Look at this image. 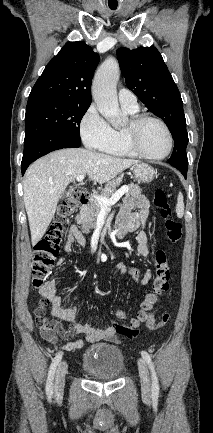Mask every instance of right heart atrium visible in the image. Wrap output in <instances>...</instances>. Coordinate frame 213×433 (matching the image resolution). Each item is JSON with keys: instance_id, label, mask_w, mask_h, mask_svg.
Instances as JSON below:
<instances>
[{"instance_id": "obj_1", "label": "right heart atrium", "mask_w": 213, "mask_h": 433, "mask_svg": "<svg viewBox=\"0 0 213 433\" xmlns=\"http://www.w3.org/2000/svg\"><path fill=\"white\" fill-rule=\"evenodd\" d=\"M81 138L91 149H101L110 136L111 127L98 108L92 104L82 116L79 124Z\"/></svg>"}]
</instances>
